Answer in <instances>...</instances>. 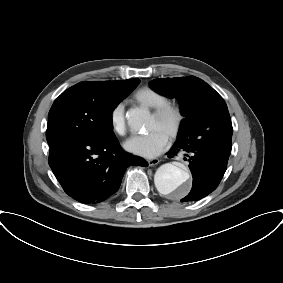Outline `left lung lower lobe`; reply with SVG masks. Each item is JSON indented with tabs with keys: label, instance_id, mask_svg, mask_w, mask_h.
Listing matches in <instances>:
<instances>
[{
	"label": "left lung lower lobe",
	"instance_id": "1",
	"mask_svg": "<svg viewBox=\"0 0 283 283\" xmlns=\"http://www.w3.org/2000/svg\"><path fill=\"white\" fill-rule=\"evenodd\" d=\"M192 131L186 132L178 138L174 146L167 153L173 157L178 152H183L189 161V168L193 176V185L190 193L181 201L199 200L216 189L221 181L226 168L229 155L226 152L217 153L210 151L197 142Z\"/></svg>",
	"mask_w": 283,
	"mask_h": 283
}]
</instances>
